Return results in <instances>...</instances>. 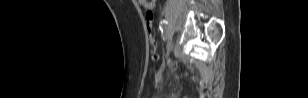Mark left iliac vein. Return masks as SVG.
Wrapping results in <instances>:
<instances>
[{
    "mask_svg": "<svg viewBox=\"0 0 308 98\" xmlns=\"http://www.w3.org/2000/svg\"><path fill=\"white\" fill-rule=\"evenodd\" d=\"M171 49H172V38H169L166 47V57L169 55Z\"/></svg>",
    "mask_w": 308,
    "mask_h": 98,
    "instance_id": "1",
    "label": "left iliac vein"
}]
</instances>
